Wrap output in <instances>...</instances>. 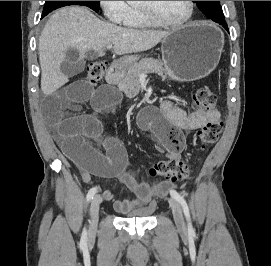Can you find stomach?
<instances>
[{"label": "stomach", "mask_w": 271, "mask_h": 266, "mask_svg": "<svg viewBox=\"0 0 271 266\" xmlns=\"http://www.w3.org/2000/svg\"><path fill=\"white\" fill-rule=\"evenodd\" d=\"M224 46V35L206 22L189 23L172 30L162 39V64L165 72L177 81H194L208 76L218 65ZM139 56L122 59L131 66Z\"/></svg>", "instance_id": "0dacf381"}]
</instances>
